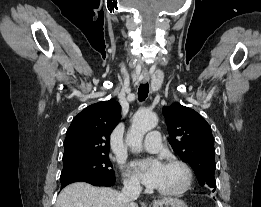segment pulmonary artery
Masks as SVG:
<instances>
[{"label": "pulmonary artery", "mask_w": 261, "mask_h": 207, "mask_svg": "<svg viewBox=\"0 0 261 207\" xmlns=\"http://www.w3.org/2000/svg\"><path fill=\"white\" fill-rule=\"evenodd\" d=\"M143 150L156 153L161 148V136L158 131H151L147 134L145 141L143 143Z\"/></svg>", "instance_id": "e3ab8cb5"}]
</instances>
